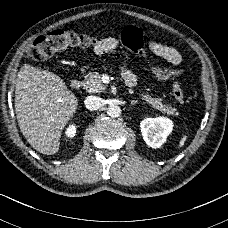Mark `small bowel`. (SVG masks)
<instances>
[{
	"mask_svg": "<svg viewBox=\"0 0 228 228\" xmlns=\"http://www.w3.org/2000/svg\"><path fill=\"white\" fill-rule=\"evenodd\" d=\"M141 31V30H140ZM122 44L124 47L129 48L131 51H141L146 44L145 38L141 35L138 28L128 26L124 28L121 34V38L118 37H106L97 42L93 48V52L97 56H101L105 53L113 52ZM148 50L155 56L161 57L167 60L173 65H179L182 62L181 53L170 46L164 45L156 40H150ZM144 57L147 58L145 52H142ZM154 76L160 80H169L180 74V71L153 66L149 63ZM123 77L125 82L131 80L135 83L136 76L128 68L123 71Z\"/></svg>",
	"mask_w": 228,
	"mask_h": 228,
	"instance_id": "c3829d8e",
	"label": "small bowel"
}]
</instances>
